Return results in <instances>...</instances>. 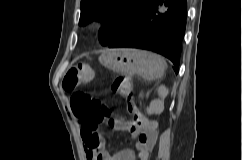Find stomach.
I'll list each match as a JSON object with an SVG mask.
<instances>
[{"instance_id":"1","label":"stomach","mask_w":242,"mask_h":160,"mask_svg":"<svg viewBox=\"0 0 242 160\" xmlns=\"http://www.w3.org/2000/svg\"><path fill=\"white\" fill-rule=\"evenodd\" d=\"M99 61L116 73L140 74L146 80H153L160 73V63L156 60V55L139 49H109L99 57Z\"/></svg>"}]
</instances>
